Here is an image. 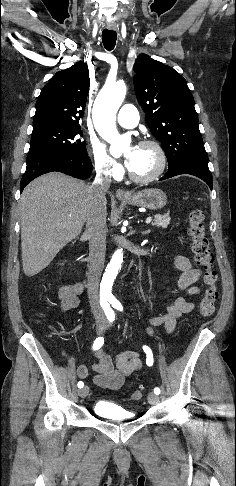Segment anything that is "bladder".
Segmentation results:
<instances>
[{
    "label": "bladder",
    "mask_w": 236,
    "mask_h": 486,
    "mask_svg": "<svg viewBox=\"0 0 236 486\" xmlns=\"http://www.w3.org/2000/svg\"><path fill=\"white\" fill-rule=\"evenodd\" d=\"M93 410L97 416L113 421H130L135 418L133 412L108 401L97 402Z\"/></svg>",
    "instance_id": "obj_1"
}]
</instances>
